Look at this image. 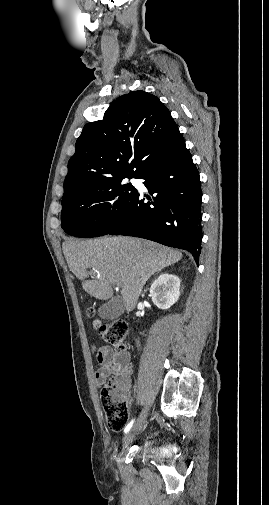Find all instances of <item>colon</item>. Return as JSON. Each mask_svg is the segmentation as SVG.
<instances>
[{"label":"colon","instance_id":"1","mask_svg":"<svg viewBox=\"0 0 269 505\" xmlns=\"http://www.w3.org/2000/svg\"><path fill=\"white\" fill-rule=\"evenodd\" d=\"M89 316L94 314L93 308L87 311ZM101 338L116 352H123L126 347V336L128 325L123 320H114L109 323H102L98 320L94 322ZM125 383L116 378L107 383L101 392V401L104 407L106 421L113 431H120L124 428L128 419L127 405L124 399Z\"/></svg>","mask_w":269,"mask_h":505}]
</instances>
